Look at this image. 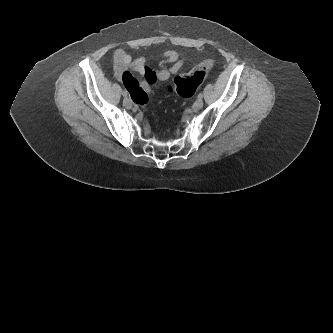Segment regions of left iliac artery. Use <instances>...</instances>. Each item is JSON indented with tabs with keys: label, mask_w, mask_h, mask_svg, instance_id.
I'll return each instance as SVG.
<instances>
[{
	"label": "left iliac artery",
	"mask_w": 333,
	"mask_h": 333,
	"mask_svg": "<svg viewBox=\"0 0 333 333\" xmlns=\"http://www.w3.org/2000/svg\"><path fill=\"white\" fill-rule=\"evenodd\" d=\"M198 98L202 99V98H203V94H202V93H199V94H198Z\"/></svg>",
	"instance_id": "44dca946"
}]
</instances>
